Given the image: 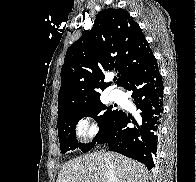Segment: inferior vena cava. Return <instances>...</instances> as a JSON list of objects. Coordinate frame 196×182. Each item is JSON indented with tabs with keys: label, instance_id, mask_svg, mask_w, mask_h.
<instances>
[{
	"label": "inferior vena cava",
	"instance_id": "1",
	"mask_svg": "<svg viewBox=\"0 0 196 182\" xmlns=\"http://www.w3.org/2000/svg\"><path fill=\"white\" fill-rule=\"evenodd\" d=\"M106 166H107V171H106L107 182H117L113 166L108 163L106 164Z\"/></svg>",
	"mask_w": 196,
	"mask_h": 182
}]
</instances>
